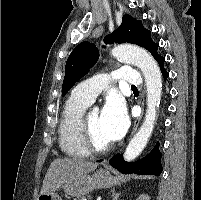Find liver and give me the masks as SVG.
I'll list each match as a JSON object with an SVG mask.
<instances>
[{
    "label": "liver",
    "instance_id": "1",
    "mask_svg": "<svg viewBox=\"0 0 201 200\" xmlns=\"http://www.w3.org/2000/svg\"><path fill=\"white\" fill-rule=\"evenodd\" d=\"M97 166V163L83 159H55L47 170L41 194L55 191L75 175L87 174Z\"/></svg>",
    "mask_w": 201,
    "mask_h": 200
}]
</instances>
